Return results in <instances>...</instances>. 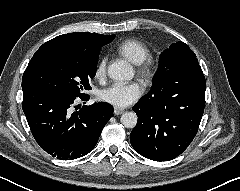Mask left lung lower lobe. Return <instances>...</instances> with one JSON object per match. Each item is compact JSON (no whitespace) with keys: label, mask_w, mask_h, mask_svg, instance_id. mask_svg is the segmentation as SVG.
<instances>
[{"label":"left lung lower lobe","mask_w":240,"mask_h":191,"mask_svg":"<svg viewBox=\"0 0 240 191\" xmlns=\"http://www.w3.org/2000/svg\"><path fill=\"white\" fill-rule=\"evenodd\" d=\"M154 96L143 97L133 107L137 126L130 134L133 148L155 161L172 160L194 139L205 107L203 73L182 76Z\"/></svg>","instance_id":"0a47b994"}]
</instances>
